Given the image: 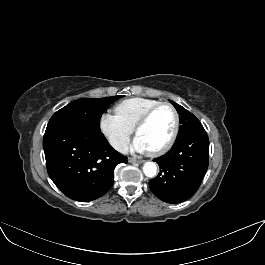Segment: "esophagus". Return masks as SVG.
<instances>
[{"mask_svg": "<svg viewBox=\"0 0 265 265\" xmlns=\"http://www.w3.org/2000/svg\"><path fill=\"white\" fill-rule=\"evenodd\" d=\"M129 162L140 164V163L143 162V160H141V159H137V158H129Z\"/></svg>", "mask_w": 265, "mask_h": 265, "instance_id": "esophagus-1", "label": "esophagus"}]
</instances>
